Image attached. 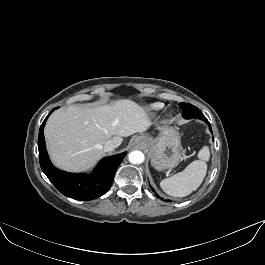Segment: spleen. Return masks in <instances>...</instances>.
I'll return each mask as SVG.
<instances>
[{"label":"spleen","mask_w":265,"mask_h":265,"mask_svg":"<svg viewBox=\"0 0 265 265\" xmlns=\"http://www.w3.org/2000/svg\"><path fill=\"white\" fill-rule=\"evenodd\" d=\"M199 160L190 163L182 172H179L160 182L165 193L173 197H184L195 191L203 182L207 172L206 162L210 158V151L204 146L198 152Z\"/></svg>","instance_id":"spleen-1"}]
</instances>
